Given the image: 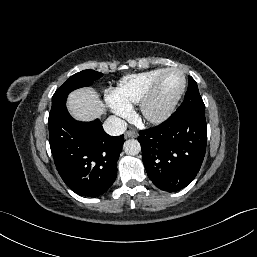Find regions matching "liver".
Returning <instances> with one entry per match:
<instances>
[{
    "mask_svg": "<svg viewBox=\"0 0 257 257\" xmlns=\"http://www.w3.org/2000/svg\"><path fill=\"white\" fill-rule=\"evenodd\" d=\"M67 108L70 114L79 121H91L105 112V104L91 88L72 92L67 100Z\"/></svg>",
    "mask_w": 257,
    "mask_h": 257,
    "instance_id": "obj_1",
    "label": "liver"
}]
</instances>
